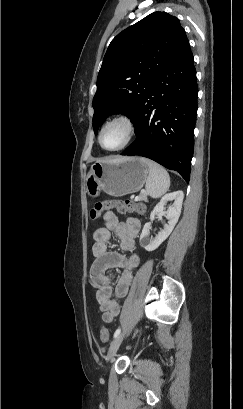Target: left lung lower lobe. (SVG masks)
Segmentation results:
<instances>
[{"mask_svg":"<svg viewBox=\"0 0 243 409\" xmlns=\"http://www.w3.org/2000/svg\"><path fill=\"white\" fill-rule=\"evenodd\" d=\"M198 86L186 39L152 83L133 125L136 139L121 155H140L190 179Z\"/></svg>","mask_w":243,"mask_h":409,"instance_id":"left-lung-lower-lobe-1","label":"left lung lower lobe"}]
</instances>
